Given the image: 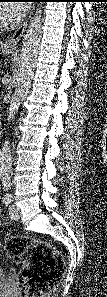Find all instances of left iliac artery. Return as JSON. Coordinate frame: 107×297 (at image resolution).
Masks as SVG:
<instances>
[{
	"mask_svg": "<svg viewBox=\"0 0 107 297\" xmlns=\"http://www.w3.org/2000/svg\"><path fill=\"white\" fill-rule=\"evenodd\" d=\"M2 201L5 203V204H10L12 201H13V197L11 194L9 193H5V195L3 196L2 198Z\"/></svg>",
	"mask_w": 107,
	"mask_h": 297,
	"instance_id": "obj_1",
	"label": "left iliac artery"
}]
</instances>
